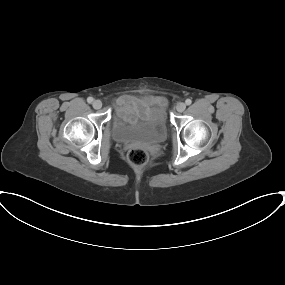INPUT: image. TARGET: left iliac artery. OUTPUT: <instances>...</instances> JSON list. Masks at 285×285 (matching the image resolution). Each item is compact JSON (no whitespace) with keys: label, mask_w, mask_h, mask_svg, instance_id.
Listing matches in <instances>:
<instances>
[{"label":"left iliac artery","mask_w":285,"mask_h":285,"mask_svg":"<svg viewBox=\"0 0 285 285\" xmlns=\"http://www.w3.org/2000/svg\"><path fill=\"white\" fill-rule=\"evenodd\" d=\"M185 103H186L187 105H190V104L192 103V101H191L190 99H186Z\"/></svg>","instance_id":"44dca946"}]
</instances>
